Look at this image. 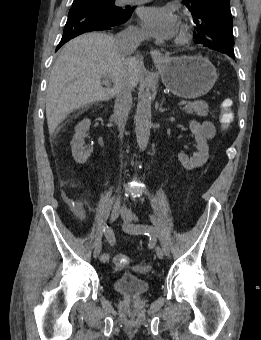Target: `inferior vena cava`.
<instances>
[{"mask_svg":"<svg viewBox=\"0 0 261 340\" xmlns=\"http://www.w3.org/2000/svg\"><path fill=\"white\" fill-rule=\"evenodd\" d=\"M145 35L138 29L127 28L114 37L115 46L119 53L124 56L132 54L143 41ZM114 105V120L120 131V138L123 137V130L127 121L128 113L132 105L131 86L123 80L116 86Z\"/></svg>","mask_w":261,"mask_h":340,"instance_id":"1","label":"inferior vena cava"}]
</instances>
